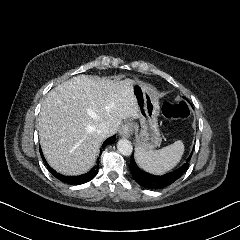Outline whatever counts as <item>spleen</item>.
<instances>
[{"mask_svg":"<svg viewBox=\"0 0 240 240\" xmlns=\"http://www.w3.org/2000/svg\"><path fill=\"white\" fill-rule=\"evenodd\" d=\"M184 153V144L181 140L175 141L160 150H145L135 148V159L140 168L155 175H162L173 169L181 160Z\"/></svg>","mask_w":240,"mask_h":240,"instance_id":"3e777b00","label":"spleen"}]
</instances>
